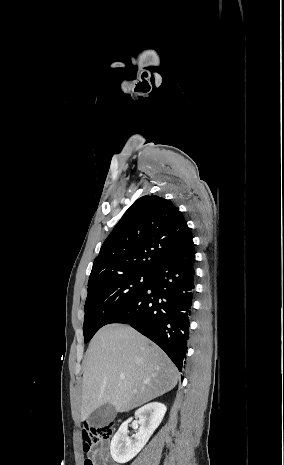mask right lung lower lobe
Masks as SVG:
<instances>
[{
    "label": "right lung lower lobe",
    "mask_w": 284,
    "mask_h": 465,
    "mask_svg": "<svg viewBox=\"0 0 284 465\" xmlns=\"http://www.w3.org/2000/svg\"><path fill=\"white\" fill-rule=\"evenodd\" d=\"M193 241L163 263L145 288L110 323H128L145 335L174 362L180 372L186 364L195 294Z\"/></svg>",
    "instance_id": "right-lung-lower-lobe-1"
}]
</instances>
